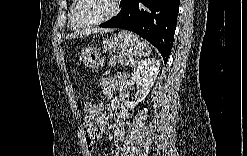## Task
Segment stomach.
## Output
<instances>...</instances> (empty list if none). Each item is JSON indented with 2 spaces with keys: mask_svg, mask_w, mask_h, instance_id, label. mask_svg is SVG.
<instances>
[{
  "mask_svg": "<svg viewBox=\"0 0 247 156\" xmlns=\"http://www.w3.org/2000/svg\"><path fill=\"white\" fill-rule=\"evenodd\" d=\"M104 49H118L131 57L139 55L142 52V46L138 36L129 31H120L118 34L104 41ZM81 58L84 65L92 69H98L104 64L101 54L95 47L84 48Z\"/></svg>",
  "mask_w": 247,
  "mask_h": 156,
  "instance_id": "stomach-1",
  "label": "stomach"
}]
</instances>
